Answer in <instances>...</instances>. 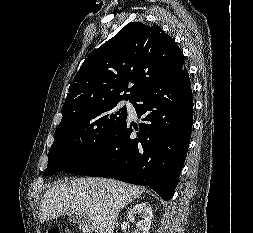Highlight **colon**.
Masks as SVG:
<instances>
[{
	"label": "colon",
	"instance_id": "obj_1",
	"mask_svg": "<svg viewBox=\"0 0 253 233\" xmlns=\"http://www.w3.org/2000/svg\"><path fill=\"white\" fill-rule=\"evenodd\" d=\"M47 233H60V231L57 227H51Z\"/></svg>",
	"mask_w": 253,
	"mask_h": 233
}]
</instances>
